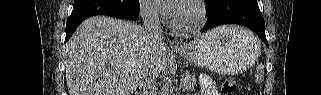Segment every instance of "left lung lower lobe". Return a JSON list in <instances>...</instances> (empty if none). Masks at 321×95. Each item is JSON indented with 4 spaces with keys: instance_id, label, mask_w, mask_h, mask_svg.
<instances>
[{
    "instance_id": "left-lung-lower-lobe-1",
    "label": "left lung lower lobe",
    "mask_w": 321,
    "mask_h": 95,
    "mask_svg": "<svg viewBox=\"0 0 321 95\" xmlns=\"http://www.w3.org/2000/svg\"><path fill=\"white\" fill-rule=\"evenodd\" d=\"M206 31L221 24H239L253 30L268 45L265 35V22L257 0H208Z\"/></svg>"
}]
</instances>
